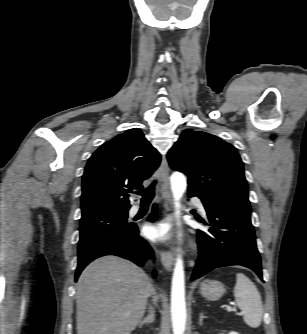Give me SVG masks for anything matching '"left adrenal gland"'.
Here are the masks:
<instances>
[{
  "instance_id": "left-adrenal-gland-1",
  "label": "left adrenal gland",
  "mask_w": 307,
  "mask_h": 334,
  "mask_svg": "<svg viewBox=\"0 0 307 334\" xmlns=\"http://www.w3.org/2000/svg\"><path fill=\"white\" fill-rule=\"evenodd\" d=\"M206 318V316H204L203 313H200V316H199V325H202L203 324V319Z\"/></svg>"
}]
</instances>
